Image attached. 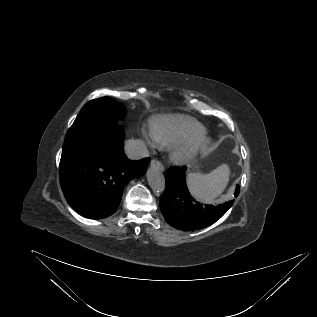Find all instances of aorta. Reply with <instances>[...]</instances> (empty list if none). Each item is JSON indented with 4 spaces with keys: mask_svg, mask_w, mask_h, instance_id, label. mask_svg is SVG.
<instances>
[{
    "mask_svg": "<svg viewBox=\"0 0 317 317\" xmlns=\"http://www.w3.org/2000/svg\"><path fill=\"white\" fill-rule=\"evenodd\" d=\"M147 180L153 191L162 193L165 189V177L157 165L151 166L147 171Z\"/></svg>",
    "mask_w": 317,
    "mask_h": 317,
    "instance_id": "obj_1",
    "label": "aorta"
}]
</instances>
